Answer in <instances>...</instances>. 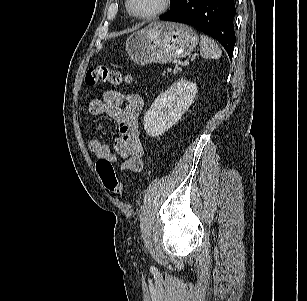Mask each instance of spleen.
Wrapping results in <instances>:
<instances>
[{"label":"spleen","mask_w":307,"mask_h":301,"mask_svg":"<svg viewBox=\"0 0 307 301\" xmlns=\"http://www.w3.org/2000/svg\"><path fill=\"white\" fill-rule=\"evenodd\" d=\"M200 55L204 58L219 59L222 55L218 44L206 35L200 36Z\"/></svg>","instance_id":"spleen-1"}]
</instances>
